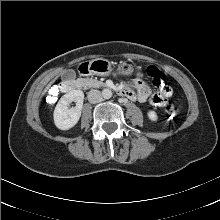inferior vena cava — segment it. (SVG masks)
<instances>
[{"label":"inferior vena cava","instance_id":"obj_1","mask_svg":"<svg viewBox=\"0 0 220 220\" xmlns=\"http://www.w3.org/2000/svg\"><path fill=\"white\" fill-rule=\"evenodd\" d=\"M87 97L88 101L92 104H96L102 101V94L99 90H90Z\"/></svg>","mask_w":220,"mask_h":220}]
</instances>
